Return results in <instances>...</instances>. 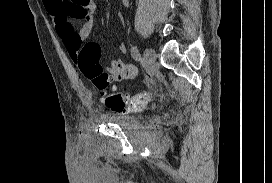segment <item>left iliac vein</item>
Here are the masks:
<instances>
[{"mask_svg":"<svg viewBox=\"0 0 272 183\" xmlns=\"http://www.w3.org/2000/svg\"><path fill=\"white\" fill-rule=\"evenodd\" d=\"M157 59V54L153 49L147 48L143 54V65L150 71L155 70V63Z\"/></svg>","mask_w":272,"mask_h":183,"instance_id":"left-iliac-vein-1","label":"left iliac vein"}]
</instances>
